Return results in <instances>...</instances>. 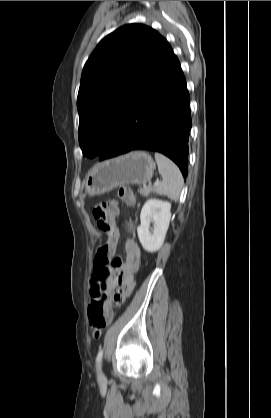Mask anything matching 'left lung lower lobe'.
Here are the masks:
<instances>
[{
	"mask_svg": "<svg viewBox=\"0 0 271 418\" xmlns=\"http://www.w3.org/2000/svg\"><path fill=\"white\" fill-rule=\"evenodd\" d=\"M191 126L186 80L171 51L100 160L132 150L156 151L172 159L185 177Z\"/></svg>",
	"mask_w": 271,
	"mask_h": 418,
	"instance_id": "obj_1",
	"label": "left lung lower lobe"
}]
</instances>
